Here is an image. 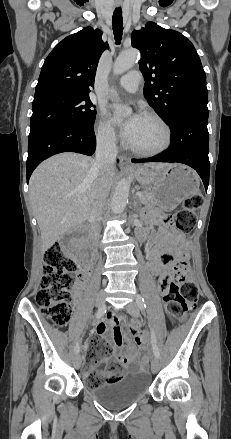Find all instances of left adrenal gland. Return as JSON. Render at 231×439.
I'll use <instances>...</instances> for the list:
<instances>
[{
	"instance_id": "a2214340",
	"label": "left adrenal gland",
	"mask_w": 231,
	"mask_h": 439,
	"mask_svg": "<svg viewBox=\"0 0 231 439\" xmlns=\"http://www.w3.org/2000/svg\"><path fill=\"white\" fill-rule=\"evenodd\" d=\"M133 207H134L133 210L136 211V212H138V208L140 207V204H139V201H138V199L136 198V196H135V200H134Z\"/></svg>"
}]
</instances>
